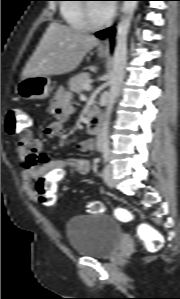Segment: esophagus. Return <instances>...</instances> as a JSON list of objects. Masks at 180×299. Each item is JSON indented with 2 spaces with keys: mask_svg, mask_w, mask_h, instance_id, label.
Wrapping results in <instances>:
<instances>
[{
  "mask_svg": "<svg viewBox=\"0 0 180 299\" xmlns=\"http://www.w3.org/2000/svg\"><path fill=\"white\" fill-rule=\"evenodd\" d=\"M110 48H111V42L108 38H106L101 44V49L104 51H109Z\"/></svg>",
  "mask_w": 180,
  "mask_h": 299,
  "instance_id": "esophagus-1",
  "label": "esophagus"
}]
</instances>
